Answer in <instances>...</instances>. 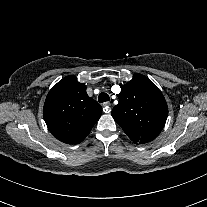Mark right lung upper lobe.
Wrapping results in <instances>:
<instances>
[{
    "instance_id": "obj_1",
    "label": "right lung upper lobe",
    "mask_w": 207,
    "mask_h": 207,
    "mask_svg": "<svg viewBox=\"0 0 207 207\" xmlns=\"http://www.w3.org/2000/svg\"><path fill=\"white\" fill-rule=\"evenodd\" d=\"M101 114V105L87 95L86 86L74 75L63 78L49 91L43 108L49 131L67 144L82 142Z\"/></svg>"
}]
</instances>
